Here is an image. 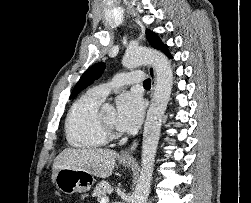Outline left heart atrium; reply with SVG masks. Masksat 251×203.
Masks as SVG:
<instances>
[{
	"label": "left heart atrium",
	"mask_w": 251,
	"mask_h": 203,
	"mask_svg": "<svg viewBox=\"0 0 251 203\" xmlns=\"http://www.w3.org/2000/svg\"><path fill=\"white\" fill-rule=\"evenodd\" d=\"M143 114L144 104L139 95L126 92L117 98L115 125L118 130L135 131L142 122Z\"/></svg>",
	"instance_id": "39dd6f15"
}]
</instances>
